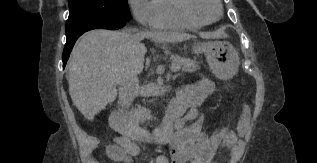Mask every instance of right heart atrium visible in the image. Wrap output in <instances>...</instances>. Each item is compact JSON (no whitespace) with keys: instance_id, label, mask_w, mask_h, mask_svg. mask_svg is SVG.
Masks as SVG:
<instances>
[{"instance_id":"d8ad5b80","label":"right heart atrium","mask_w":317,"mask_h":163,"mask_svg":"<svg viewBox=\"0 0 317 163\" xmlns=\"http://www.w3.org/2000/svg\"><path fill=\"white\" fill-rule=\"evenodd\" d=\"M128 6L136 19L143 26H151L155 18L154 0H127Z\"/></svg>"}]
</instances>
